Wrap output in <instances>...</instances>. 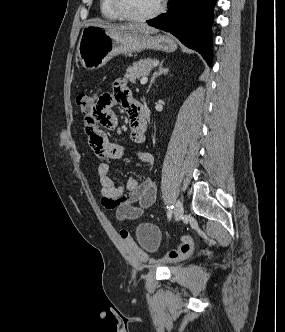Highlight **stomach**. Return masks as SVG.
Segmentation results:
<instances>
[{"label": "stomach", "mask_w": 285, "mask_h": 332, "mask_svg": "<svg viewBox=\"0 0 285 332\" xmlns=\"http://www.w3.org/2000/svg\"><path fill=\"white\" fill-rule=\"evenodd\" d=\"M145 49L173 52L177 44L166 35L117 34L102 27L86 25L78 42L77 55L85 69L96 70L116 55Z\"/></svg>", "instance_id": "1"}]
</instances>
